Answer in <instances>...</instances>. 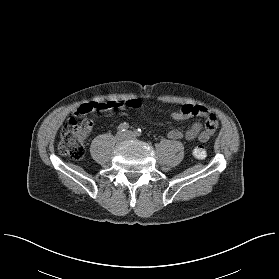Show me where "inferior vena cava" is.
Segmentation results:
<instances>
[{"label": "inferior vena cava", "mask_w": 279, "mask_h": 279, "mask_svg": "<svg viewBox=\"0 0 279 279\" xmlns=\"http://www.w3.org/2000/svg\"><path fill=\"white\" fill-rule=\"evenodd\" d=\"M125 138L131 139V138H132V133L128 132V133L125 135Z\"/></svg>", "instance_id": "602c4592"}]
</instances>
